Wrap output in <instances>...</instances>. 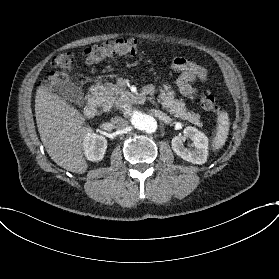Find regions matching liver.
<instances>
[{
  "label": "liver",
  "mask_w": 279,
  "mask_h": 279,
  "mask_svg": "<svg viewBox=\"0 0 279 279\" xmlns=\"http://www.w3.org/2000/svg\"><path fill=\"white\" fill-rule=\"evenodd\" d=\"M35 115L41 141L52 161L66 171L85 173L88 165L83 148L89 127L81 112L41 85L36 94Z\"/></svg>",
  "instance_id": "1"
}]
</instances>
